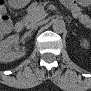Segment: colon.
Wrapping results in <instances>:
<instances>
[{
    "label": "colon",
    "instance_id": "colon-1",
    "mask_svg": "<svg viewBox=\"0 0 91 91\" xmlns=\"http://www.w3.org/2000/svg\"><path fill=\"white\" fill-rule=\"evenodd\" d=\"M0 14H1V17H0L1 30H2V32L7 33L10 30V21H9L8 17L5 16L6 11H0Z\"/></svg>",
    "mask_w": 91,
    "mask_h": 91
}]
</instances>
